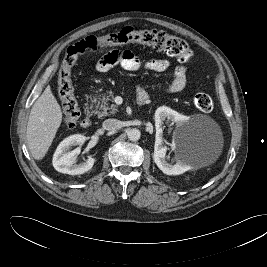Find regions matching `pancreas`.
I'll list each match as a JSON object with an SVG mask.
<instances>
[{
  "label": "pancreas",
  "instance_id": "cf45deb5",
  "mask_svg": "<svg viewBox=\"0 0 267 267\" xmlns=\"http://www.w3.org/2000/svg\"><path fill=\"white\" fill-rule=\"evenodd\" d=\"M113 97V92L109 91L98 98H94L93 102L95 103V109L92 112L97 114L99 118L117 113V106L115 104L110 105L108 103L109 101H112Z\"/></svg>",
  "mask_w": 267,
  "mask_h": 267
}]
</instances>
